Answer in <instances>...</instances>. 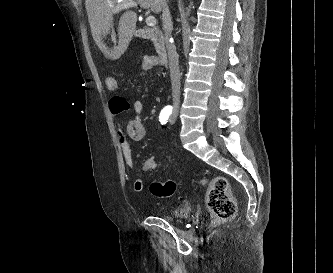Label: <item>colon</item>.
<instances>
[{"instance_id": "5ec220e1", "label": "colon", "mask_w": 333, "mask_h": 273, "mask_svg": "<svg viewBox=\"0 0 333 273\" xmlns=\"http://www.w3.org/2000/svg\"><path fill=\"white\" fill-rule=\"evenodd\" d=\"M150 64H159V59L152 56ZM106 87L109 91L115 92L118 83L114 78L106 79ZM145 172H154L157 168L153 158H147L142 162ZM206 189V204L213 218L218 222L231 220L236 214V202L230 190L228 180L222 176L212 177L203 182ZM151 193L158 198L172 196L176 191V183L171 179L155 181L150 186Z\"/></svg>"}]
</instances>
